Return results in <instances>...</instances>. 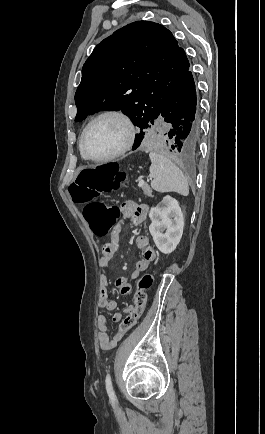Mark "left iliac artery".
<instances>
[{
    "mask_svg": "<svg viewBox=\"0 0 265 434\" xmlns=\"http://www.w3.org/2000/svg\"><path fill=\"white\" fill-rule=\"evenodd\" d=\"M105 383H106L107 393H108L110 399L112 401H114L116 399V396H115V393H114V390H113L112 381H111V377H110L109 374H107V376H106Z\"/></svg>",
    "mask_w": 265,
    "mask_h": 434,
    "instance_id": "obj_1",
    "label": "left iliac artery"
}]
</instances>
